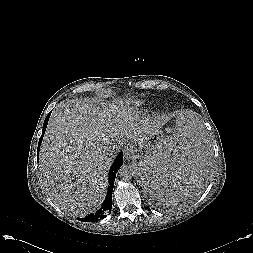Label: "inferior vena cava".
<instances>
[{"label": "inferior vena cava", "instance_id": "obj_1", "mask_svg": "<svg viewBox=\"0 0 253 253\" xmlns=\"http://www.w3.org/2000/svg\"><path fill=\"white\" fill-rule=\"evenodd\" d=\"M119 149H120V146H118V145H113L112 147H110V148L108 149V152H109V153H116V152L119 151Z\"/></svg>", "mask_w": 253, "mask_h": 253}]
</instances>
